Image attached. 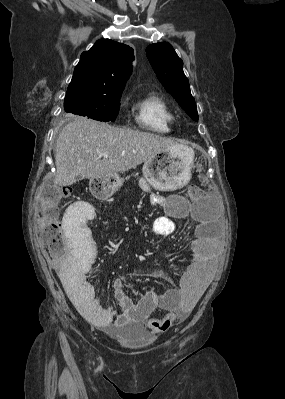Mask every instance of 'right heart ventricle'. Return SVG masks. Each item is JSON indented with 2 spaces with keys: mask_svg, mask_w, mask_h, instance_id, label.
<instances>
[{
  "mask_svg": "<svg viewBox=\"0 0 285 399\" xmlns=\"http://www.w3.org/2000/svg\"><path fill=\"white\" fill-rule=\"evenodd\" d=\"M137 124L148 131L168 133L174 117L166 100L150 92L138 97L133 104Z\"/></svg>",
  "mask_w": 285,
  "mask_h": 399,
  "instance_id": "right-heart-ventricle-1",
  "label": "right heart ventricle"
}]
</instances>
